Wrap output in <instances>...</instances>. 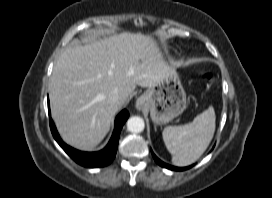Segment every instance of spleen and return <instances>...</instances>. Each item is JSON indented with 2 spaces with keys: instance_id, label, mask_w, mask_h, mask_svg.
Returning <instances> with one entry per match:
<instances>
[{
  "instance_id": "3e777b00",
  "label": "spleen",
  "mask_w": 272,
  "mask_h": 198,
  "mask_svg": "<svg viewBox=\"0 0 272 198\" xmlns=\"http://www.w3.org/2000/svg\"><path fill=\"white\" fill-rule=\"evenodd\" d=\"M215 121V111L210 106L197 115L191 123L164 128L163 141L172 154L174 165L187 166L200 158L213 138Z\"/></svg>"
}]
</instances>
